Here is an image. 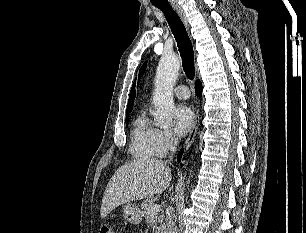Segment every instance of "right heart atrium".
I'll return each instance as SVG.
<instances>
[{
  "instance_id": "obj_1",
  "label": "right heart atrium",
  "mask_w": 306,
  "mask_h": 233,
  "mask_svg": "<svg viewBox=\"0 0 306 233\" xmlns=\"http://www.w3.org/2000/svg\"><path fill=\"white\" fill-rule=\"evenodd\" d=\"M177 144V138L169 129H156L155 132V149L157 156H164L174 149Z\"/></svg>"
}]
</instances>
